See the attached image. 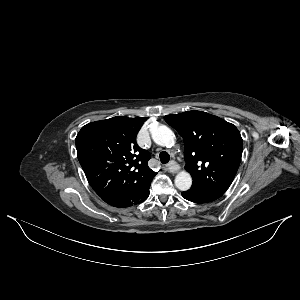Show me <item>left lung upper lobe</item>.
<instances>
[{"mask_svg": "<svg viewBox=\"0 0 300 300\" xmlns=\"http://www.w3.org/2000/svg\"><path fill=\"white\" fill-rule=\"evenodd\" d=\"M165 121L184 140L185 169L192 187L225 193L240 165L243 140L231 123L202 111L166 115Z\"/></svg>", "mask_w": 300, "mask_h": 300, "instance_id": "1", "label": "left lung upper lobe"}]
</instances>
